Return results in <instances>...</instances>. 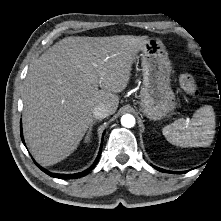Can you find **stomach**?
Wrapping results in <instances>:
<instances>
[{"instance_id":"obj_1","label":"stomach","mask_w":221,"mask_h":221,"mask_svg":"<svg viewBox=\"0 0 221 221\" xmlns=\"http://www.w3.org/2000/svg\"><path fill=\"white\" fill-rule=\"evenodd\" d=\"M141 62V110L149 119L160 120L173 111L177 104L170 87L171 62L160 39L151 38L146 42L142 49Z\"/></svg>"}]
</instances>
